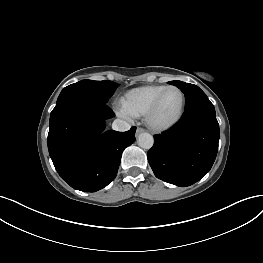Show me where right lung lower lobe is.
Masks as SVG:
<instances>
[{
    "label": "right lung lower lobe",
    "instance_id": "98d812e1",
    "mask_svg": "<svg viewBox=\"0 0 263 263\" xmlns=\"http://www.w3.org/2000/svg\"><path fill=\"white\" fill-rule=\"evenodd\" d=\"M114 116L106 103L82 99L66 101L51 112L49 154L60 177L74 189L95 192L116 177L136 128L104 131L105 120Z\"/></svg>",
    "mask_w": 263,
    "mask_h": 263
}]
</instances>
